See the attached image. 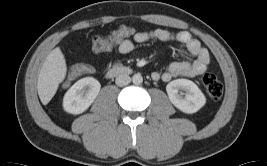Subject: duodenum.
Instances as JSON below:
<instances>
[{
    "label": "duodenum",
    "instance_id": "410a0bca",
    "mask_svg": "<svg viewBox=\"0 0 267 166\" xmlns=\"http://www.w3.org/2000/svg\"><path fill=\"white\" fill-rule=\"evenodd\" d=\"M130 72H131V69L129 67L116 65L106 71V76L113 77V76H118V75H123V74H129Z\"/></svg>",
    "mask_w": 267,
    "mask_h": 166
}]
</instances>
